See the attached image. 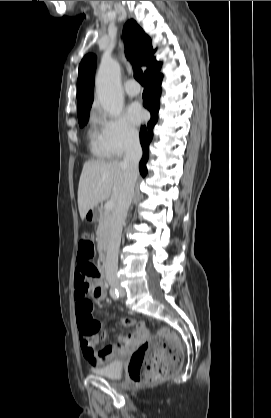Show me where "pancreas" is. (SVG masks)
Wrapping results in <instances>:
<instances>
[{"label":"pancreas","instance_id":"cf45deb5","mask_svg":"<svg viewBox=\"0 0 271 418\" xmlns=\"http://www.w3.org/2000/svg\"><path fill=\"white\" fill-rule=\"evenodd\" d=\"M111 215L106 210L101 209L98 228L96 231L97 243L100 249H104L110 239Z\"/></svg>","mask_w":271,"mask_h":418}]
</instances>
